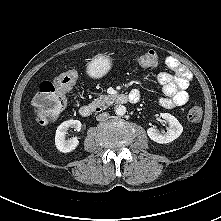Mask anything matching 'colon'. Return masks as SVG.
Listing matches in <instances>:
<instances>
[{"mask_svg":"<svg viewBox=\"0 0 221 221\" xmlns=\"http://www.w3.org/2000/svg\"><path fill=\"white\" fill-rule=\"evenodd\" d=\"M141 67H154L158 64V55L149 50L141 53L135 58ZM77 71L71 69L61 73L53 81L42 82L33 99V112L37 122L46 125L55 121L62 113L66 104V94L77 81ZM202 117V108L198 105L192 106L188 111V119L197 122Z\"/></svg>","mask_w":221,"mask_h":221,"instance_id":"5ec220e1","label":"colon"}]
</instances>
